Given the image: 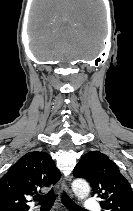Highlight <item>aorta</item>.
Returning <instances> with one entry per match:
<instances>
[{
  "instance_id": "1",
  "label": "aorta",
  "mask_w": 133,
  "mask_h": 211,
  "mask_svg": "<svg viewBox=\"0 0 133 211\" xmlns=\"http://www.w3.org/2000/svg\"><path fill=\"white\" fill-rule=\"evenodd\" d=\"M72 190L80 199H85L89 196L90 186L84 179H76L72 182Z\"/></svg>"
}]
</instances>
